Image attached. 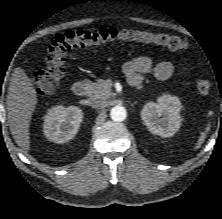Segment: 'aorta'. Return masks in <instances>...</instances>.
<instances>
[{
    "label": "aorta",
    "instance_id": "aorta-1",
    "mask_svg": "<svg viewBox=\"0 0 222 219\" xmlns=\"http://www.w3.org/2000/svg\"><path fill=\"white\" fill-rule=\"evenodd\" d=\"M127 112L125 107L117 105L113 107L110 111V117L113 121L121 122L126 119Z\"/></svg>",
    "mask_w": 222,
    "mask_h": 219
}]
</instances>
